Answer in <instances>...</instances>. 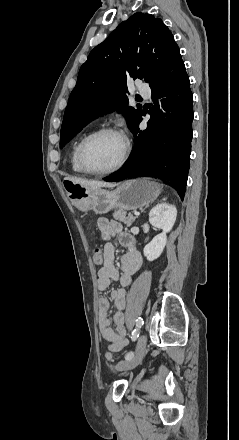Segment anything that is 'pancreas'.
I'll return each mask as SVG.
<instances>
[{
    "instance_id": "cf45deb5",
    "label": "pancreas",
    "mask_w": 239,
    "mask_h": 440,
    "mask_svg": "<svg viewBox=\"0 0 239 440\" xmlns=\"http://www.w3.org/2000/svg\"><path fill=\"white\" fill-rule=\"evenodd\" d=\"M114 220H119V222H124L126 226H132L134 220H136L137 216H132V214H126L124 210H115L113 214Z\"/></svg>"
}]
</instances>
